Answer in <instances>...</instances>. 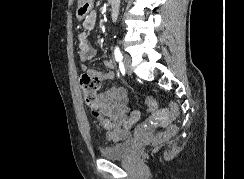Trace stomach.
Instances as JSON below:
<instances>
[{"instance_id": "stomach-1", "label": "stomach", "mask_w": 244, "mask_h": 179, "mask_svg": "<svg viewBox=\"0 0 244 179\" xmlns=\"http://www.w3.org/2000/svg\"><path fill=\"white\" fill-rule=\"evenodd\" d=\"M93 0H79L78 10L76 12V18L83 20L86 14L90 12L92 8Z\"/></svg>"}]
</instances>
